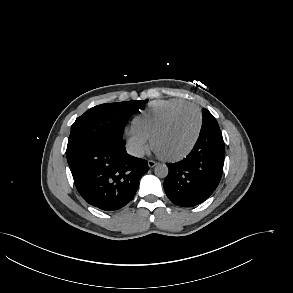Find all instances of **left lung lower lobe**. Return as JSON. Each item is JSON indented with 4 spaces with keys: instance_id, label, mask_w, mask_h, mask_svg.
Masks as SVG:
<instances>
[{
    "instance_id": "0a47b994",
    "label": "left lung lower lobe",
    "mask_w": 293,
    "mask_h": 293,
    "mask_svg": "<svg viewBox=\"0 0 293 293\" xmlns=\"http://www.w3.org/2000/svg\"><path fill=\"white\" fill-rule=\"evenodd\" d=\"M224 157L220 129L200 132L186 158L167 164L169 173L164 181V190L168 198L183 207H192L208 199L220 182Z\"/></svg>"
}]
</instances>
